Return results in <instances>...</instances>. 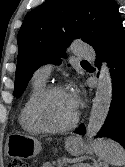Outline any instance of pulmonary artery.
Here are the masks:
<instances>
[{"mask_svg": "<svg viewBox=\"0 0 125 167\" xmlns=\"http://www.w3.org/2000/svg\"><path fill=\"white\" fill-rule=\"evenodd\" d=\"M73 49L77 57L79 58L89 59L94 56L92 49L86 47V45L82 41H77ZM52 68H53L52 64L42 65L35 71L34 79L45 82L49 78Z\"/></svg>", "mask_w": 125, "mask_h": 167, "instance_id": "e3ab8cb5", "label": "pulmonary artery"}]
</instances>
